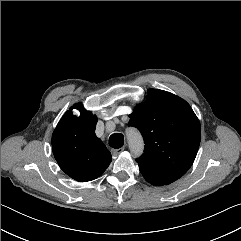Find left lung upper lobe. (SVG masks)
<instances>
[{"mask_svg":"<svg viewBox=\"0 0 241 241\" xmlns=\"http://www.w3.org/2000/svg\"><path fill=\"white\" fill-rule=\"evenodd\" d=\"M129 126L141 132L145 149L136 159L144 178L154 185H167L192 166L200 139V122L180 97L157 89L129 115Z\"/></svg>","mask_w":241,"mask_h":241,"instance_id":"1","label":"left lung upper lobe"}]
</instances>
